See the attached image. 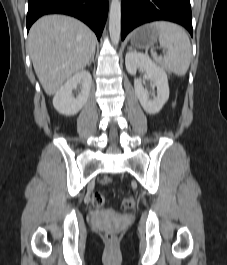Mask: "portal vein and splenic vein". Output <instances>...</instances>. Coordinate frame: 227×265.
Returning <instances> with one entry per match:
<instances>
[{
    "label": "portal vein and splenic vein",
    "instance_id": "obj_1",
    "mask_svg": "<svg viewBox=\"0 0 227 265\" xmlns=\"http://www.w3.org/2000/svg\"><path fill=\"white\" fill-rule=\"evenodd\" d=\"M155 59H156V60H159V58H158V57H156Z\"/></svg>",
    "mask_w": 227,
    "mask_h": 265
}]
</instances>
